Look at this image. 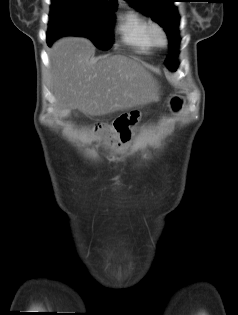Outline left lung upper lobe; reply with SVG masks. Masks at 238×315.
I'll use <instances>...</instances> for the list:
<instances>
[{"label":"left lung upper lobe","mask_w":238,"mask_h":315,"mask_svg":"<svg viewBox=\"0 0 238 315\" xmlns=\"http://www.w3.org/2000/svg\"><path fill=\"white\" fill-rule=\"evenodd\" d=\"M139 11L150 15L154 21L159 23L166 31L169 40L178 35L179 15L174 7V0H127ZM166 65L171 70L178 67L177 60L172 55H168L165 60Z\"/></svg>","instance_id":"left-lung-upper-lobe-1"}]
</instances>
